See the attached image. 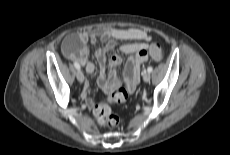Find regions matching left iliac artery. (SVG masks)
<instances>
[{
    "label": "left iliac artery",
    "instance_id": "44dca946",
    "mask_svg": "<svg viewBox=\"0 0 230 155\" xmlns=\"http://www.w3.org/2000/svg\"><path fill=\"white\" fill-rule=\"evenodd\" d=\"M147 71H148L149 73H151V72L153 71V68L150 66V67L147 68Z\"/></svg>",
    "mask_w": 230,
    "mask_h": 155
}]
</instances>
